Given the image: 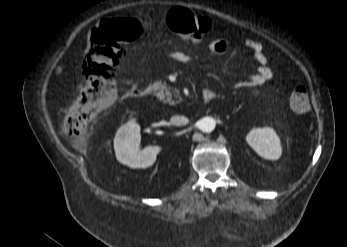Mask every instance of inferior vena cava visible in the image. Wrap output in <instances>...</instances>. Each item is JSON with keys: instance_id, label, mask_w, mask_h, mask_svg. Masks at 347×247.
<instances>
[{"instance_id": "inferior-vena-cava-1", "label": "inferior vena cava", "mask_w": 347, "mask_h": 247, "mask_svg": "<svg viewBox=\"0 0 347 247\" xmlns=\"http://www.w3.org/2000/svg\"><path fill=\"white\" fill-rule=\"evenodd\" d=\"M171 124L175 125V126H182V125H186L188 123V119L184 116H173L170 119Z\"/></svg>"}]
</instances>
